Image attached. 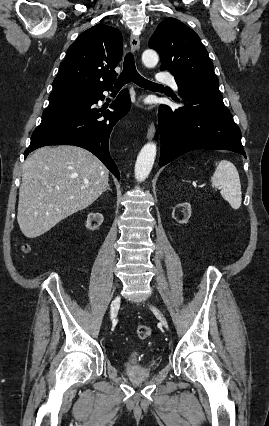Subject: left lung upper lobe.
Segmentation results:
<instances>
[{
	"instance_id": "obj_1",
	"label": "left lung upper lobe",
	"mask_w": 269,
	"mask_h": 426,
	"mask_svg": "<svg viewBox=\"0 0 269 426\" xmlns=\"http://www.w3.org/2000/svg\"><path fill=\"white\" fill-rule=\"evenodd\" d=\"M149 47L160 54L161 69L171 72L181 88L219 85L199 36L178 19L163 20L151 36Z\"/></svg>"
}]
</instances>
